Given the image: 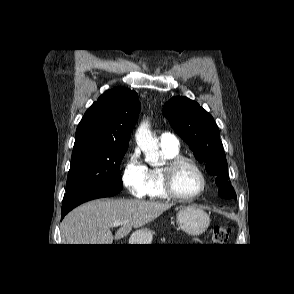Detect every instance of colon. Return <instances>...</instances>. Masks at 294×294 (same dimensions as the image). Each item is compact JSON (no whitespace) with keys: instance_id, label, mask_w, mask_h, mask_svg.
<instances>
[{"instance_id":"colon-1","label":"colon","mask_w":294,"mask_h":294,"mask_svg":"<svg viewBox=\"0 0 294 294\" xmlns=\"http://www.w3.org/2000/svg\"><path fill=\"white\" fill-rule=\"evenodd\" d=\"M230 235V229L226 225H217L213 228L211 241L214 245L222 246L224 245Z\"/></svg>"}]
</instances>
